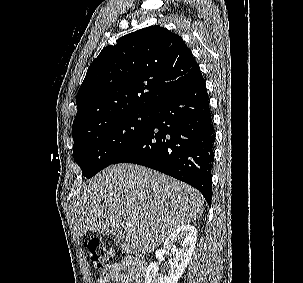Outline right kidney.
Wrapping results in <instances>:
<instances>
[{
  "mask_svg": "<svg viewBox=\"0 0 303 283\" xmlns=\"http://www.w3.org/2000/svg\"><path fill=\"white\" fill-rule=\"evenodd\" d=\"M196 240L197 230L192 225H182L174 230L163 244L165 252L171 255L168 276L160 275L157 263L152 262L146 270L145 283H178L189 264ZM176 242L180 243L181 248L176 249Z\"/></svg>",
  "mask_w": 303,
  "mask_h": 283,
  "instance_id": "ca27d5eb",
  "label": "right kidney"
}]
</instances>
